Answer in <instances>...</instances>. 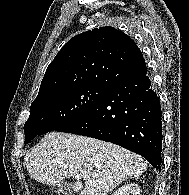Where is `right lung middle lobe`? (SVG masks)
Here are the masks:
<instances>
[{
    "label": "right lung middle lobe",
    "instance_id": "1",
    "mask_svg": "<svg viewBox=\"0 0 189 195\" xmlns=\"http://www.w3.org/2000/svg\"><path fill=\"white\" fill-rule=\"evenodd\" d=\"M109 91L99 87H74L37 97L24 125L25 144L38 135L58 130L78 119Z\"/></svg>",
    "mask_w": 189,
    "mask_h": 195
}]
</instances>
